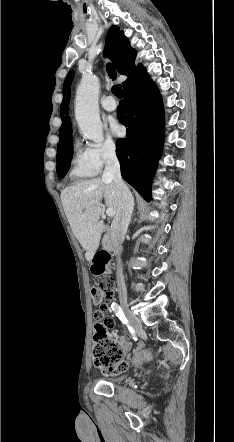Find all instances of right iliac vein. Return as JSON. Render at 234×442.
Here are the masks:
<instances>
[{
	"mask_svg": "<svg viewBox=\"0 0 234 442\" xmlns=\"http://www.w3.org/2000/svg\"><path fill=\"white\" fill-rule=\"evenodd\" d=\"M122 307H123V309H124V311H125V313H126V316H127V318H128V321H129V324L131 325V327L134 329V330H138V329H140V327H141V323H140V320H139V318L134 314V313H132L129 309H128V304H127V302L126 301H122Z\"/></svg>",
	"mask_w": 234,
	"mask_h": 442,
	"instance_id": "obj_1",
	"label": "right iliac vein"
}]
</instances>
